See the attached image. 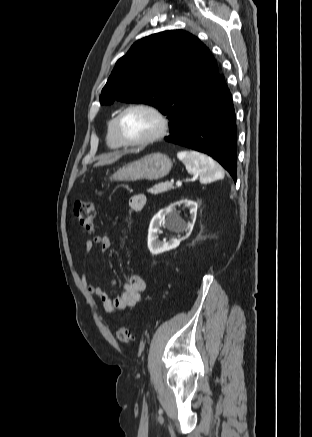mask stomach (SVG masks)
Instances as JSON below:
<instances>
[{
	"label": "stomach",
	"instance_id": "1",
	"mask_svg": "<svg viewBox=\"0 0 312 437\" xmlns=\"http://www.w3.org/2000/svg\"><path fill=\"white\" fill-rule=\"evenodd\" d=\"M172 168L171 159L162 153H153L125 164L111 176L113 181L157 180Z\"/></svg>",
	"mask_w": 312,
	"mask_h": 437
}]
</instances>
